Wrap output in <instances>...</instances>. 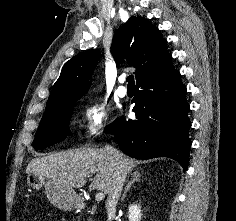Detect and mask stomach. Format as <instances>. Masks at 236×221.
<instances>
[{
    "label": "stomach",
    "mask_w": 236,
    "mask_h": 221,
    "mask_svg": "<svg viewBox=\"0 0 236 221\" xmlns=\"http://www.w3.org/2000/svg\"><path fill=\"white\" fill-rule=\"evenodd\" d=\"M27 183L34 189L44 187L48 200L61 210H73L80 202L73 189L51 179L45 181V177L37 173H28Z\"/></svg>",
    "instance_id": "stomach-1"
}]
</instances>
